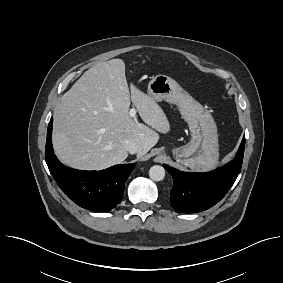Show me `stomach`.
Returning <instances> with one entry per match:
<instances>
[{"label": "stomach", "instance_id": "obj_1", "mask_svg": "<svg viewBox=\"0 0 283 283\" xmlns=\"http://www.w3.org/2000/svg\"><path fill=\"white\" fill-rule=\"evenodd\" d=\"M147 95L156 102L175 104L187 122L191 140L172 149L175 160L193 170L204 171L217 163L219 144L217 126L208 110L187 93L174 79L157 75L148 84Z\"/></svg>", "mask_w": 283, "mask_h": 283}]
</instances>
